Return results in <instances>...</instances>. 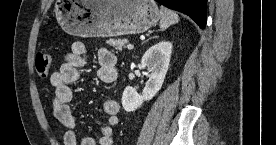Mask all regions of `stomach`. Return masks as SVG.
Masks as SVG:
<instances>
[{"label":"stomach","mask_w":276,"mask_h":145,"mask_svg":"<svg viewBox=\"0 0 276 145\" xmlns=\"http://www.w3.org/2000/svg\"><path fill=\"white\" fill-rule=\"evenodd\" d=\"M54 13L64 31L85 38L143 33L160 19L154 0H59Z\"/></svg>","instance_id":"obj_1"}]
</instances>
